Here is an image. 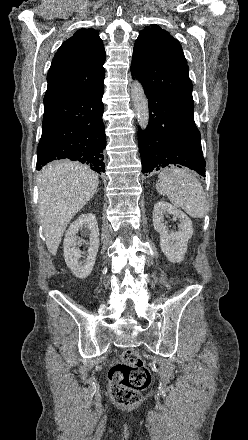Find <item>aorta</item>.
<instances>
[{
    "label": "aorta",
    "instance_id": "762f6f07",
    "mask_svg": "<svg viewBox=\"0 0 248 440\" xmlns=\"http://www.w3.org/2000/svg\"><path fill=\"white\" fill-rule=\"evenodd\" d=\"M131 99L136 112L137 121L141 130H146L149 123L148 100L140 82L131 84Z\"/></svg>",
    "mask_w": 248,
    "mask_h": 440
}]
</instances>
